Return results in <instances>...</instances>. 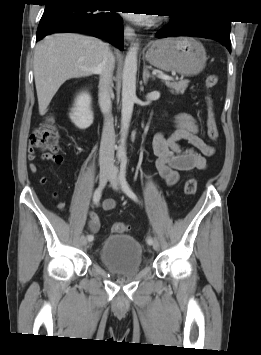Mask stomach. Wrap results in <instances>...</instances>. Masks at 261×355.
<instances>
[{"label": "stomach", "mask_w": 261, "mask_h": 355, "mask_svg": "<svg viewBox=\"0 0 261 355\" xmlns=\"http://www.w3.org/2000/svg\"><path fill=\"white\" fill-rule=\"evenodd\" d=\"M145 58L158 69L186 76L200 73L207 61L205 48L191 37H171L154 41Z\"/></svg>", "instance_id": "0dacf381"}]
</instances>
